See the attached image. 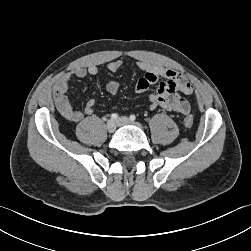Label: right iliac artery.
I'll return each instance as SVG.
<instances>
[{
  "label": "right iliac artery",
  "instance_id": "82829eb1",
  "mask_svg": "<svg viewBox=\"0 0 251 251\" xmlns=\"http://www.w3.org/2000/svg\"><path fill=\"white\" fill-rule=\"evenodd\" d=\"M118 117H119V116H118L117 113L111 114V119H113V120H116Z\"/></svg>",
  "mask_w": 251,
  "mask_h": 251
}]
</instances>
